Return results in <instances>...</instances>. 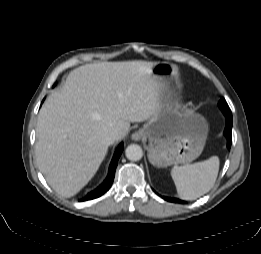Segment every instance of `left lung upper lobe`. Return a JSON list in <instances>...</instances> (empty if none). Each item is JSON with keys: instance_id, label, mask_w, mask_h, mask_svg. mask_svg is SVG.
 I'll use <instances>...</instances> for the list:
<instances>
[{"instance_id": "left-lung-upper-lobe-1", "label": "left lung upper lobe", "mask_w": 261, "mask_h": 254, "mask_svg": "<svg viewBox=\"0 0 261 254\" xmlns=\"http://www.w3.org/2000/svg\"><path fill=\"white\" fill-rule=\"evenodd\" d=\"M218 105H219L220 109L222 110V112L231 113L230 108L224 98H221Z\"/></svg>"}]
</instances>
